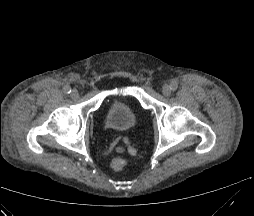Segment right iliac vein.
<instances>
[{
  "instance_id": "obj_1",
  "label": "right iliac vein",
  "mask_w": 254,
  "mask_h": 216,
  "mask_svg": "<svg viewBox=\"0 0 254 216\" xmlns=\"http://www.w3.org/2000/svg\"><path fill=\"white\" fill-rule=\"evenodd\" d=\"M78 95H79L78 90L74 89V90L71 91V97H72V98H77Z\"/></svg>"
}]
</instances>
